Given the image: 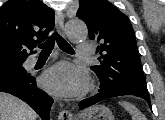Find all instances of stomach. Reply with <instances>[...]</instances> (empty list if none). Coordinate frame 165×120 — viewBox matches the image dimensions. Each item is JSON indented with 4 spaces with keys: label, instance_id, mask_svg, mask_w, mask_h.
I'll list each match as a JSON object with an SVG mask.
<instances>
[{
    "label": "stomach",
    "instance_id": "0dacf381",
    "mask_svg": "<svg viewBox=\"0 0 165 120\" xmlns=\"http://www.w3.org/2000/svg\"><path fill=\"white\" fill-rule=\"evenodd\" d=\"M79 120H115L112 112L104 105H95L86 109Z\"/></svg>",
    "mask_w": 165,
    "mask_h": 120
}]
</instances>
